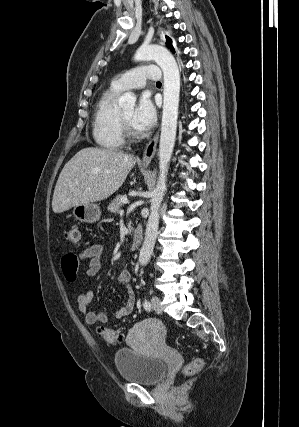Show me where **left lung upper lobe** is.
Masks as SVG:
<instances>
[{"label": "left lung upper lobe", "instance_id": "obj_1", "mask_svg": "<svg viewBox=\"0 0 299 427\" xmlns=\"http://www.w3.org/2000/svg\"><path fill=\"white\" fill-rule=\"evenodd\" d=\"M166 37V44H168V48H170L171 49V51L173 52V53H175V50H174V48H173V46H172V40H171V38L170 37H168V36H165Z\"/></svg>", "mask_w": 299, "mask_h": 427}]
</instances>
